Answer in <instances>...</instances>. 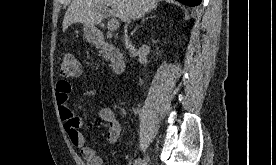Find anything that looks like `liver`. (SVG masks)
I'll use <instances>...</instances> for the list:
<instances>
[{"mask_svg": "<svg viewBox=\"0 0 276 165\" xmlns=\"http://www.w3.org/2000/svg\"><path fill=\"white\" fill-rule=\"evenodd\" d=\"M107 7L112 8L113 16L130 22L156 9L157 0H73L64 16L63 31L74 23L91 27L101 23Z\"/></svg>", "mask_w": 276, "mask_h": 165, "instance_id": "1", "label": "liver"}]
</instances>
